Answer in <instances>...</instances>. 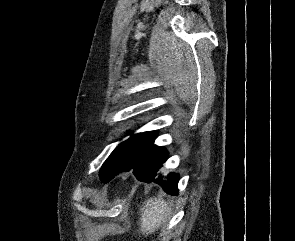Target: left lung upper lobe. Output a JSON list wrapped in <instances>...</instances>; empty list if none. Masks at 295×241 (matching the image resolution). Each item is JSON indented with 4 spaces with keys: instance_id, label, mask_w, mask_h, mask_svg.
<instances>
[{
    "instance_id": "1",
    "label": "left lung upper lobe",
    "mask_w": 295,
    "mask_h": 241,
    "mask_svg": "<svg viewBox=\"0 0 295 241\" xmlns=\"http://www.w3.org/2000/svg\"><path fill=\"white\" fill-rule=\"evenodd\" d=\"M157 137L156 131L139 133L118 145L104 162L99 176L103 183L109 182L126 165L141 156Z\"/></svg>"
}]
</instances>
